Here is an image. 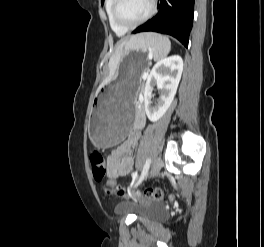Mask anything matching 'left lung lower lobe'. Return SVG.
<instances>
[{"mask_svg": "<svg viewBox=\"0 0 264 247\" xmlns=\"http://www.w3.org/2000/svg\"><path fill=\"white\" fill-rule=\"evenodd\" d=\"M157 14L132 33L153 31L168 34L188 47L193 26L194 0H158Z\"/></svg>", "mask_w": 264, "mask_h": 247, "instance_id": "0a47b994", "label": "left lung lower lobe"}]
</instances>
